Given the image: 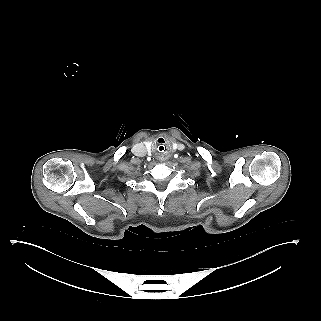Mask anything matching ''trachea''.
<instances>
[{"mask_svg":"<svg viewBox=\"0 0 321 321\" xmlns=\"http://www.w3.org/2000/svg\"><path fill=\"white\" fill-rule=\"evenodd\" d=\"M152 153H153L154 157L161 159V158L165 157V155L167 153V149H166L165 145L158 143V144L154 145V147L152 149Z\"/></svg>","mask_w":321,"mask_h":321,"instance_id":"obj_1","label":"trachea"}]
</instances>
